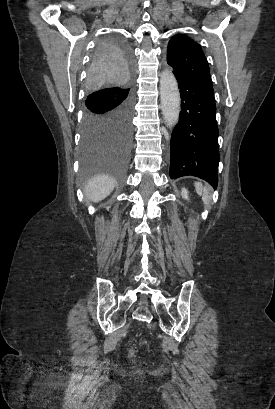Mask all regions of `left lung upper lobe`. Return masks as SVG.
<instances>
[{
	"instance_id": "5c2ea615",
	"label": "left lung upper lobe",
	"mask_w": 275,
	"mask_h": 409,
	"mask_svg": "<svg viewBox=\"0 0 275 409\" xmlns=\"http://www.w3.org/2000/svg\"><path fill=\"white\" fill-rule=\"evenodd\" d=\"M167 63L174 74L193 78L212 86L207 59L198 43L183 34L171 38L167 48Z\"/></svg>"
}]
</instances>
